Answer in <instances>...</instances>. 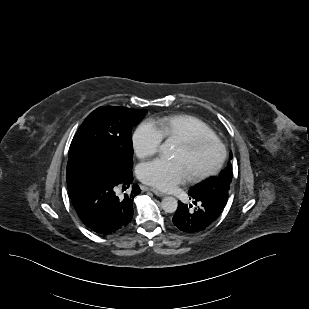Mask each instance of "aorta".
Here are the masks:
<instances>
[{
  "mask_svg": "<svg viewBox=\"0 0 309 309\" xmlns=\"http://www.w3.org/2000/svg\"><path fill=\"white\" fill-rule=\"evenodd\" d=\"M173 142L171 140H166L161 145V150L166 155H171L173 149ZM178 202L176 198L172 196H166L162 199L161 207L166 213H173L176 211Z\"/></svg>",
  "mask_w": 309,
  "mask_h": 309,
  "instance_id": "obj_1",
  "label": "aorta"
}]
</instances>
